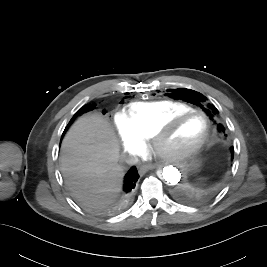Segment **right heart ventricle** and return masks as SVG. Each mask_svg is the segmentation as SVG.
I'll return each instance as SVG.
<instances>
[{"instance_id":"right-heart-ventricle-1","label":"right heart ventricle","mask_w":267,"mask_h":267,"mask_svg":"<svg viewBox=\"0 0 267 267\" xmlns=\"http://www.w3.org/2000/svg\"><path fill=\"white\" fill-rule=\"evenodd\" d=\"M191 109L194 108L184 102L160 100L131 103L123 114L128 124L143 139H150L156 129L172 115Z\"/></svg>"}]
</instances>
